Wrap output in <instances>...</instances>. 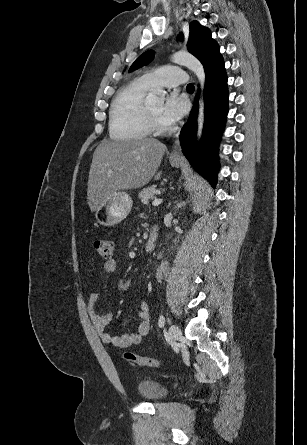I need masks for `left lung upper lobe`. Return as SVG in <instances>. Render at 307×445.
<instances>
[{
	"mask_svg": "<svg viewBox=\"0 0 307 445\" xmlns=\"http://www.w3.org/2000/svg\"><path fill=\"white\" fill-rule=\"evenodd\" d=\"M182 38V35H180ZM188 51L197 57L203 64L204 69L214 60L221 58L220 49L211 32L207 27L201 26L197 21L190 24V34L188 40ZM154 56V51L150 50L140 55L132 64L129 72L149 63Z\"/></svg>",
	"mask_w": 307,
	"mask_h": 445,
	"instance_id": "5c2ea615",
	"label": "left lung upper lobe"
}]
</instances>
